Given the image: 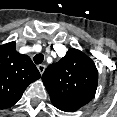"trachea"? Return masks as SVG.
<instances>
[{"label":"trachea","mask_w":117,"mask_h":117,"mask_svg":"<svg viewBox=\"0 0 117 117\" xmlns=\"http://www.w3.org/2000/svg\"><path fill=\"white\" fill-rule=\"evenodd\" d=\"M33 59H34V62L36 64H41L44 60V55L43 54H37V55L34 56Z\"/></svg>","instance_id":"obj_1"}]
</instances>
